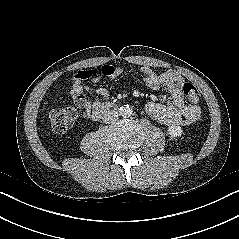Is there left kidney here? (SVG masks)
Returning <instances> with one entry per match:
<instances>
[{"label":"left kidney","mask_w":239,"mask_h":239,"mask_svg":"<svg viewBox=\"0 0 239 239\" xmlns=\"http://www.w3.org/2000/svg\"><path fill=\"white\" fill-rule=\"evenodd\" d=\"M168 134H170L173 137H179L182 135V128L180 126H170L168 128Z\"/></svg>","instance_id":"obj_1"}]
</instances>
